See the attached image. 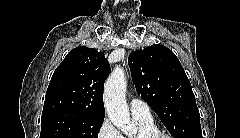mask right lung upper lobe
Returning <instances> with one entry per match:
<instances>
[{"label":"right lung upper lobe","mask_w":240,"mask_h":138,"mask_svg":"<svg viewBox=\"0 0 240 138\" xmlns=\"http://www.w3.org/2000/svg\"><path fill=\"white\" fill-rule=\"evenodd\" d=\"M110 71L104 53L72 49L53 73L42 116L66 112L104 118L103 88Z\"/></svg>","instance_id":"cb5924a9"}]
</instances>
